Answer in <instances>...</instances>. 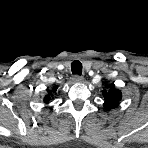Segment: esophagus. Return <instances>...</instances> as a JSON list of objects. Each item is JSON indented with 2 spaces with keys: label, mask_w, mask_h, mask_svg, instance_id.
Instances as JSON below:
<instances>
[{
  "label": "esophagus",
  "mask_w": 148,
  "mask_h": 148,
  "mask_svg": "<svg viewBox=\"0 0 148 148\" xmlns=\"http://www.w3.org/2000/svg\"><path fill=\"white\" fill-rule=\"evenodd\" d=\"M72 80L75 82V83H81L84 81V77L83 76H79V75H74Z\"/></svg>",
  "instance_id": "34e87169"
}]
</instances>
